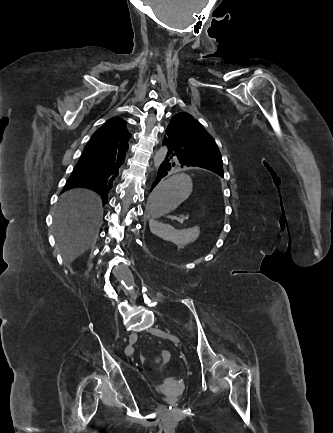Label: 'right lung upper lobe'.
Segmentation results:
<instances>
[{"label": "right lung upper lobe", "instance_id": "obj_1", "mask_svg": "<svg viewBox=\"0 0 333 433\" xmlns=\"http://www.w3.org/2000/svg\"><path fill=\"white\" fill-rule=\"evenodd\" d=\"M125 124L126 121L122 118H111L94 133L92 138H96V144L99 148L126 146L131 138V134Z\"/></svg>", "mask_w": 333, "mask_h": 433}]
</instances>
